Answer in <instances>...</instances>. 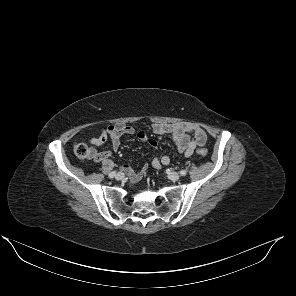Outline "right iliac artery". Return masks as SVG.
Returning a JSON list of instances; mask_svg holds the SVG:
<instances>
[{"mask_svg":"<svg viewBox=\"0 0 296 296\" xmlns=\"http://www.w3.org/2000/svg\"><path fill=\"white\" fill-rule=\"evenodd\" d=\"M116 175V171H112L111 173H109V178H113Z\"/></svg>","mask_w":296,"mask_h":296,"instance_id":"1","label":"right iliac artery"}]
</instances>
